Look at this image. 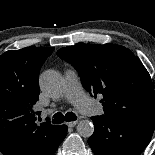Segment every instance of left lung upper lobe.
Segmentation results:
<instances>
[{
    "mask_svg": "<svg viewBox=\"0 0 155 155\" xmlns=\"http://www.w3.org/2000/svg\"><path fill=\"white\" fill-rule=\"evenodd\" d=\"M78 71L84 87L101 94L104 115L112 118L155 117V91L142 62L115 44H81L57 51Z\"/></svg>",
    "mask_w": 155,
    "mask_h": 155,
    "instance_id": "5c2ea615",
    "label": "left lung upper lobe"
}]
</instances>
